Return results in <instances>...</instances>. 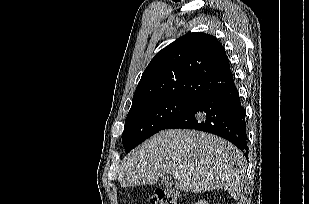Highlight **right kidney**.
Masks as SVG:
<instances>
[{
	"mask_svg": "<svg viewBox=\"0 0 309 204\" xmlns=\"http://www.w3.org/2000/svg\"><path fill=\"white\" fill-rule=\"evenodd\" d=\"M195 204H208V202L207 201H205V200H200V201H198L197 203H195Z\"/></svg>",
	"mask_w": 309,
	"mask_h": 204,
	"instance_id": "obj_1",
	"label": "right kidney"
}]
</instances>
